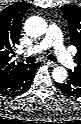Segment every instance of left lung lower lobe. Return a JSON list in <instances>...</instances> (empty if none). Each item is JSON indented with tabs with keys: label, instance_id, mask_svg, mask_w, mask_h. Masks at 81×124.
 I'll list each match as a JSON object with an SVG mask.
<instances>
[{
	"label": "left lung lower lobe",
	"instance_id": "1",
	"mask_svg": "<svg viewBox=\"0 0 81 124\" xmlns=\"http://www.w3.org/2000/svg\"><path fill=\"white\" fill-rule=\"evenodd\" d=\"M68 72V80L64 83H56V87L67 96L80 97L81 78L70 70Z\"/></svg>",
	"mask_w": 81,
	"mask_h": 124
}]
</instances>
